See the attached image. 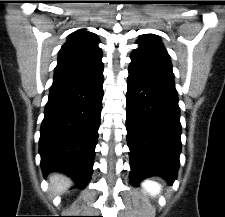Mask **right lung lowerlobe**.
Listing matches in <instances>:
<instances>
[{
  "label": "right lung lower lobe",
  "mask_w": 225,
  "mask_h": 217,
  "mask_svg": "<svg viewBox=\"0 0 225 217\" xmlns=\"http://www.w3.org/2000/svg\"><path fill=\"white\" fill-rule=\"evenodd\" d=\"M103 76L82 85L51 89L39 153L44 174L60 171L84 188L92 174L103 97Z\"/></svg>",
  "instance_id": "98d812e1"
}]
</instances>
